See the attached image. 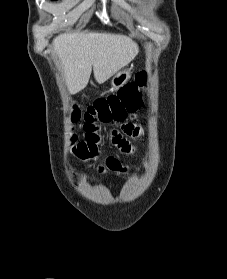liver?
Here are the masks:
<instances>
[{
  "instance_id": "6515ba94",
  "label": "liver",
  "mask_w": 227,
  "mask_h": 279,
  "mask_svg": "<svg viewBox=\"0 0 227 279\" xmlns=\"http://www.w3.org/2000/svg\"><path fill=\"white\" fill-rule=\"evenodd\" d=\"M52 45L70 94L87 86L92 69L96 82L104 83L127 66L139 51L130 37L106 32L64 33Z\"/></svg>"
}]
</instances>
